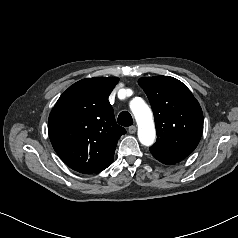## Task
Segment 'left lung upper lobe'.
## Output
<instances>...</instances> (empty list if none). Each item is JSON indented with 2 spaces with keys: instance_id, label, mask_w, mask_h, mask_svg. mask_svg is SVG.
<instances>
[{
  "instance_id": "obj_1",
  "label": "left lung upper lobe",
  "mask_w": 238,
  "mask_h": 238,
  "mask_svg": "<svg viewBox=\"0 0 238 238\" xmlns=\"http://www.w3.org/2000/svg\"><path fill=\"white\" fill-rule=\"evenodd\" d=\"M155 119L157 141L150 150L186 158L203 132V113L191 91L176 78H140Z\"/></svg>"
}]
</instances>
